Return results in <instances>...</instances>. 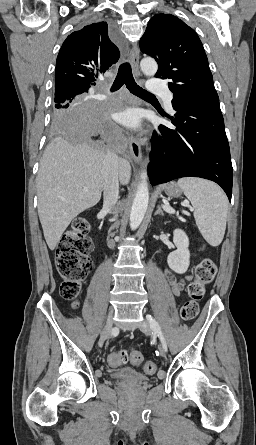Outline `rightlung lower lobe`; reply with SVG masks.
<instances>
[{"instance_id": "1", "label": "right lung lower lobe", "mask_w": 256, "mask_h": 445, "mask_svg": "<svg viewBox=\"0 0 256 445\" xmlns=\"http://www.w3.org/2000/svg\"><path fill=\"white\" fill-rule=\"evenodd\" d=\"M69 128L77 139L94 141L102 150L124 154L126 143L102 103L85 100L69 115Z\"/></svg>"}]
</instances>
